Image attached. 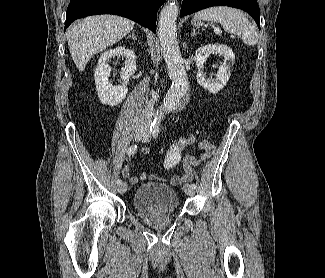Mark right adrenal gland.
Masks as SVG:
<instances>
[{
  "mask_svg": "<svg viewBox=\"0 0 325 278\" xmlns=\"http://www.w3.org/2000/svg\"><path fill=\"white\" fill-rule=\"evenodd\" d=\"M129 37H131L133 40H136L137 38L135 37V32H132V35H130Z\"/></svg>",
  "mask_w": 325,
  "mask_h": 278,
  "instance_id": "1",
  "label": "right adrenal gland"
}]
</instances>
